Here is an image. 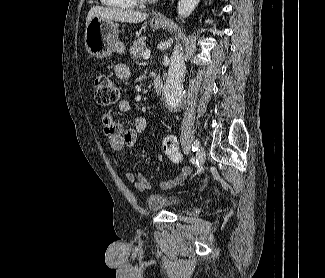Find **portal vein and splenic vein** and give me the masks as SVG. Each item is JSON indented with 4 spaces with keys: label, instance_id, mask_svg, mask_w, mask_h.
Masks as SVG:
<instances>
[{
    "label": "portal vein and splenic vein",
    "instance_id": "1",
    "mask_svg": "<svg viewBox=\"0 0 325 278\" xmlns=\"http://www.w3.org/2000/svg\"><path fill=\"white\" fill-rule=\"evenodd\" d=\"M143 58H144L145 60L149 59V58H150V52H146V53H144Z\"/></svg>",
    "mask_w": 325,
    "mask_h": 278
}]
</instances>
